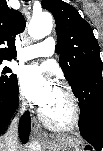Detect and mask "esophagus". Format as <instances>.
Listing matches in <instances>:
<instances>
[{"mask_svg": "<svg viewBox=\"0 0 103 151\" xmlns=\"http://www.w3.org/2000/svg\"><path fill=\"white\" fill-rule=\"evenodd\" d=\"M32 130L34 135L39 139V140H44L47 139V135L41 131L39 126L37 125L36 120H32Z\"/></svg>", "mask_w": 103, "mask_h": 151, "instance_id": "esophagus-1", "label": "esophagus"}]
</instances>
